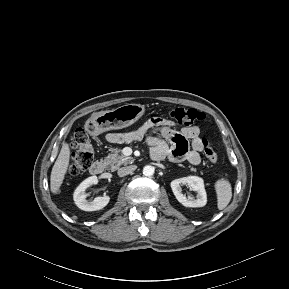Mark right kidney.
I'll return each instance as SVG.
<instances>
[{"label": "right kidney", "mask_w": 289, "mask_h": 289, "mask_svg": "<svg viewBox=\"0 0 289 289\" xmlns=\"http://www.w3.org/2000/svg\"><path fill=\"white\" fill-rule=\"evenodd\" d=\"M98 183L97 176L85 179L75 190L73 199L77 207L84 211H97L104 208L110 201L109 196L96 197L93 201L86 200V189Z\"/></svg>", "instance_id": "1"}]
</instances>
